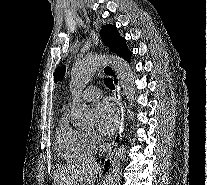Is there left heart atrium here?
Wrapping results in <instances>:
<instances>
[{"label":"left heart atrium","mask_w":207,"mask_h":185,"mask_svg":"<svg viewBox=\"0 0 207 185\" xmlns=\"http://www.w3.org/2000/svg\"><path fill=\"white\" fill-rule=\"evenodd\" d=\"M98 131L103 136H111L119 125V110L109 99L103 100L95 108Z\"/></svg>","instance_id":"obj_1"}]
</instances>
